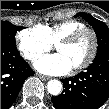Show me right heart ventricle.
I'll return each mask as SVG.
<instances>
[{"mask_svg":"<svg viewBox=\"0 0 109 109\" xmlns=\"http://www.w3.org/2000/svg\"><path fill=\"white\" fill-rule=\"evenodd\" d=\"M41 27L49 40L52 43H57L73 32L86 27V25L78 20H66L52 25H44Z\"/></svg>","mask_w":109,"mask_h":109,"instance_id":"right-heart-ventricle-1","label":"right heart ventricle"}]
</instances>
